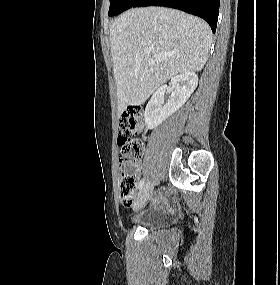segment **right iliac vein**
Listing matches in <instances>:
<instances>
[{
    "label": "right iliac vein",
    "mask_w": 280,
    "mask_h": 285,
    "mask_svg": "<svg viewBox=\"0 0 280 285\" xmlns=\"http://www.w3.org/2000/svg\"><path fill=\"white\" fill-rule=\"evenodd\" d=\"M152 191H153V185L152 184H146L143 189L141 190L137 201L134 205V209L138 210L141 207H143V205H145V203L148 201V199L150 198V196L152 195Z\"/></svg>",
    "instance_id": "1"
}]
</instances>
